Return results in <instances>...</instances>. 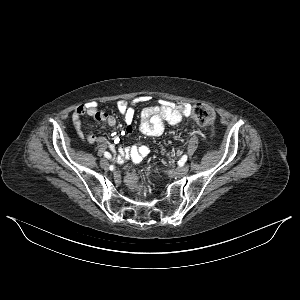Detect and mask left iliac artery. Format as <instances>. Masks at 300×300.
I'll use <instances>...</instances> for the list:
<instances>
[{
	"label": "left iliac artery",
	"instance_id": "1",
	"mask_svg": "<svg viewBox=\"0 0 300 300\" xmlns=\"http://www.w3.org/2000/svg\"><path fill=\"white\" fill-rule=\"evenodd\" d=\"M180 161L185 163L187 161V155H183Z\"/></svg>",
	"mask_w": 300,
	"mask_h": 300
}]
</instances>
